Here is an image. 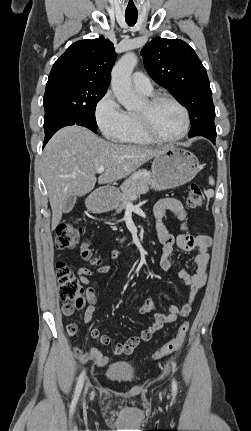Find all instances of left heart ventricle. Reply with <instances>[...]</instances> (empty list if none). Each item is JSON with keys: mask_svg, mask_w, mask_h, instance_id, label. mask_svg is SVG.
Returning a JSON list of instances; mask_svg holds the SVG:
<instances>
[{"mask_svg": "<svg viewBox=\"0 0 251 431\" xmlns=\"http://www.w3.org/2000/svg\"><path fill=\"white\" fill-rule=\"evenodd\" d=\"M144 103L138 113L147 110ZM151 120L156 132L164 138H173L180 134L183 128V114L181 110L171 102H162L151 111Z\"/></svg>", "mask_w": 251, "mask_h": 431, "instance_id": "b2bd125f", "label": "left heart ventricle"}]
</instances>
